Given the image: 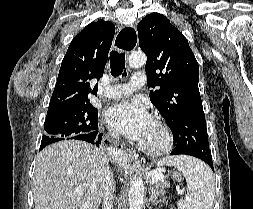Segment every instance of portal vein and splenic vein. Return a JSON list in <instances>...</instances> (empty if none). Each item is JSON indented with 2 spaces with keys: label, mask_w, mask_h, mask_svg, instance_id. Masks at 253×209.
<instances>
[{
  "label": "portal vein and splenic vein",
  "mask_w": 253,
  "mask_h": 209,
  "mask_svg": "<svg viewBox=\"0 0 253 209\" xmlns=\"http://www.w3.org/2000/svg\"><path fill=\"white\" fill-rule=\"evenodd\" d=\"M163 180H164V176H163V174L158 173V174H155V175L151 178V184H154V183H156V182H158V181H163ZM76 192H78V193H82V192H83V190H82V189L77 188V189H76ZM178 192H179L180 194H182V193H183V191H181V190H178Z\"/></svg>",
  "instance_id": "1"
}]
</instances>
